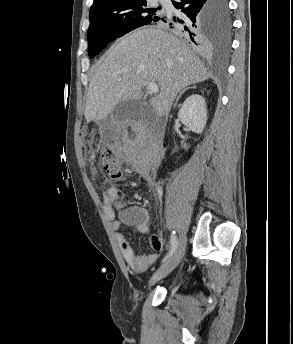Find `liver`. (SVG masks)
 <instances>
[{
  "label": "liver",
  "instance_id": "obj_1",
  "mask_svg": "<svg viewBox=\"0 0 293 344\" xmlns=\"http://www.w3.org/2000/svg\"><path fill=\"white\" fill-rule=\"evenodd\" d=\"M210 76L199 58L173 34L160 27L136 30L110 49L92 77L85 119L99 122L119 103L139 100L147 82H157L160 92L149 104L158 116H165L183 88Z\"/></svg>",
  "mask_w": 293,
  "mask_h": 344
}]
</instances>
